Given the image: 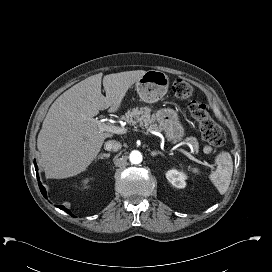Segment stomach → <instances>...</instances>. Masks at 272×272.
<instances>
[{
	"label": "stomach",
	"mask_w": 272,
	"mask_h": 272,
	"mask_svg": "<svg viewBox=\"0 0 272 272\" xmlns=\"http://www.w3.org/2000/svg\"><path fill=\"white\" fill-rule=\"evenodd\" d=\"M169 87L168 76L158 70L147 71L136 81L135 90L140 99L146 103H156L167 93ZM158 128L163 131L168 141L180 140L185 135L183 125L179 120L177 111L165 108L155 114Z\"/></svg>",
	"instance_id": "0dacf381"
}]
</instances>
